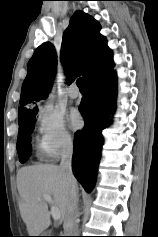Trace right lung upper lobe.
I'll use <instances>...</instances> for the list:
<instances>
[{"mask_svg":"<svg viewBox=\"0 0 158 237\" xmlns=\"http://www.w3.org/2000/svg\"><path fill=\"white\" fill-rule=\"evenodd\" d=\"M101 26L83 11H76L63 34L61 57L66 73L74 80L83 75L87 82L114 66L106 39L99 31ZM56 72L54 46L46 42L39 46L28 63L27 76L22 85L18 116L37 114L27 107L46 98ZM70 83V82H69Z\"/></svg>","mask_w":158,"mask_h":237,"instance_id":"right-lung-upper-lobe-1","label":"right lung upper lobe"}]
</instances>
